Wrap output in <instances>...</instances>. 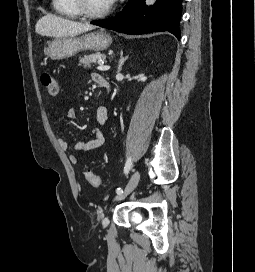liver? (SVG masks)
I'll return each instance as SVG.
<instances>
[{
  "instance_id": "obj_1",
  "label": "liver",
  "mask_w": 255,
  "mask_h": 272,
  "mask_svg": "<svg viewBox=\"0 0 255 272\" xmlns=\"http://www.w3.org/2000/svg\"><path fill=\"white\" fill-rule=\"evenodd\" d=\"M94 28V25L88 23L75 22L53 14H46L38 20L35 31L42 36L62 38L76 36Z\"/></svg>"
}]
</instances>
